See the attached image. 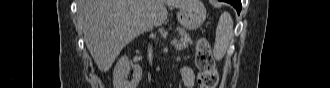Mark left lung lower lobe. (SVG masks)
<instances>
[{
  "label": "left lung lower lobe",
  "mask_w": 330,
  "mask_h": 88,
  "mask_svg": "<svg viewBox=\"0 0 330 88\" xmlns=\"http://www.w3.org/2000/svg\"><path fill=\"white\" fill-rule=\"evenodd\" d=\"M223 1H224V2H228V3H230L231 5H233V6L236 8L238 14L240 13L241 8H242L241 0H223Z\"/></svg>",
  "instance_id": "0a47b994"
}]
</instances>
